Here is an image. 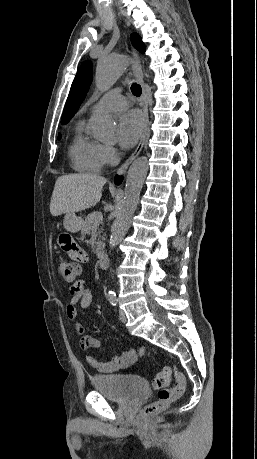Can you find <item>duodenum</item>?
Wrapping results in <instances>:
<instances>
[{
    "mask_svg": "<svg viewBox=\"0 0 257 459\" xmlns=\"http://www.w3.org/2000/svg\"><path fill=\"white\" fill-rule=\"evenodd\" d=\"M97 263L99 268H106L109 264L108 255L105 252L100 251L97 255Z\"/></svg>",
    "mask_w": 257,
    "mask_h": 459,
    "instance_id": "obj_1",
    "label": "duodenum"
}]
</instances>
